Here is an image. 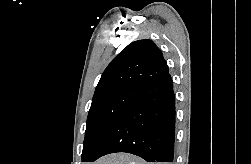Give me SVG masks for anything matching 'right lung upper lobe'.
Segmentation results:
<instances>
[{
  "label": "right lung upper lobe",
  "instance_id": "1",
  "mask_svg": "<svg viewBox=\"0 0 251 164\" xmlns=\"http://www.w3.org/2000/svg\"><path fill=\"white\" fill-rule=\"evenodd\" d=\"M169 74L163 54L148 39L129 44L117 55L103 72L94 97L122 88H143Z\"/></svg>",
  "mask_w": 251,
  "mask_h": 164
}]
</instances>
